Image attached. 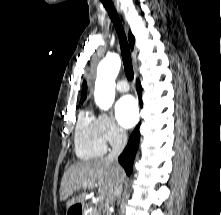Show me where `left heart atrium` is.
Here are the masks:
<instances>
[{"label":"left heart atrium","mask_w":221,"mask_h":215,"mask_svg":"<svg viewBox=\"0 0 221 215\" xmlns=\"http://www.w3.org/2000/svg\"><path fill=\"white\" fill-rule=\"evenodd\" d=\"M116 118L125 128L132 127L138 120L139 112L135 99L132 96L122 97L115 107Z\"/></svg>","instance_id":"obj_1"}]
</instances>
